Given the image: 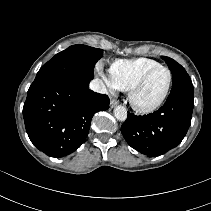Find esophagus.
Wrapping results in <instances>:
<instances>
[{
  "instance_id": "34e87169",
  "label": "esophagus",
  "mask_w": 211,
  "mask_h": 211,
  "mask_svg": "<svg viewBox=\"0 0 211 211\" xmlns=\"http://www.w3.org/2000/svg\"><path fill=\"white\" fill-rule=\"evenodd\" d=\"M119 104V101L118 100H115V99H112L110 101V106L113 108L114 106L118 105Z\"/></svg>"
}]
</instances>
